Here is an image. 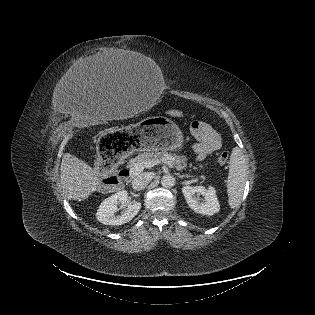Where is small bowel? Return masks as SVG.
I'll return each mask as SVG.
<instances>
[{
    "label": "small bowel",
    "instance_id": "obj_1",
    "mask_svg": "<svg viewBox=\"0 0 315 315\" xmlns=\"http://www.w3.org/2000/svg\"><path fill=\"white\" fill-rule=\"evenodd\" d=\"M191 132L197 140L193 146L197 160H203L207 155L220 149L221 136L209 123L195 121L191 124Z\"/></svg>",
    "mask_w": 315,
    "mask_h": 315
}]
</instances>
